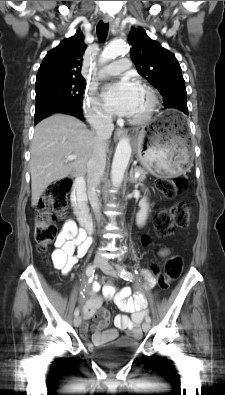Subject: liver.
I'll return each mask as SVG.
<instances>
[{
	"label": "liver",
	"instance_id": "6515ba94",
	"mask_svg": "<svg viewBox=\"0 0 225 395\" xmlns=\"http://www.w3.org/2000/svg\"><path fill=\"white\" fill-rule=\"evenodd\" d=\"M95 137L94 131L70 115L54 114L37 124L30 149L32 206L52 182L86 174ZM70 155L76 156L73 162L67 161Z\"/></svg>",
	"mask_w": 225,
	"mask_h": 395
}]
</instances>
